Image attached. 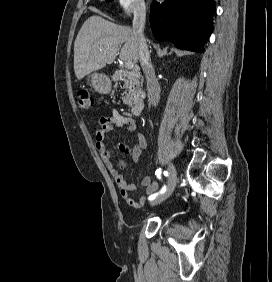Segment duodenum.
<instances>
[{
  "label": "duodenum",
  "instance_id": "obj_1",
  "mask_svg": "<svg viewBox=\"0 0 272 282\" xmlns=\"http://www.w3.org/2000/svg\"><path fill=\"white\" fill-rule=\"evenodd\" d=\"M121 77H129V78H133L135 80H142L143 76L140 73L139 69H132L129 70L125 73H116L114 75V78L116 80H118ZM144 93H141L138 98L132 103V105L129 108V112H128V116L129 117H133V116H138L142 113L143 109H144Z\"/></svg>",
  "mask_w": 272,
  "mask_h": 282
}]
</instances>
